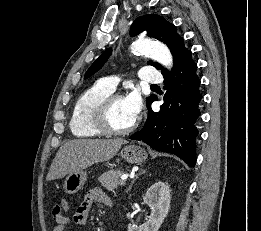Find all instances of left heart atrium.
Segmentation results:
<instances>
[{
    "instance_id": "39dd6f15",
    "label": "left heart atrium",
    "mask_w": 261,
    "mask_h": 231,
    "mask_svg": "<svg viewBox=\"0 0 261 231\" xmlns=\"http://www.w3.org/2000/svg\"><path fill=\"white\" fill-rule=\"evenodd\" d=\"M125 102L131 114L137 118L142 109V99L137 91H132L125 97Z\"/></svg>"
}]
</instances>
